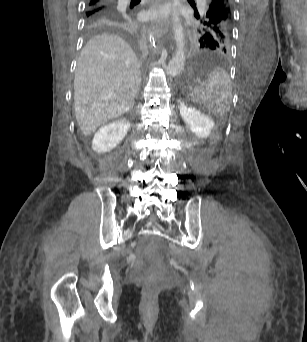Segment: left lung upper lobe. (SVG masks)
I'll return each instance as SVG.
<instances>
[{
    "instance_id": "left-lung-upper-lobe-1",
    "label": "left lung upper lobe",
    "mask_w": 307,
    "mask_h": 342,
    "mask_svg": "<svg viewBox=\"0 0 307 342\" xmlns=\"http://www.w3.org/2000/svg\"><path fill=\"white\" fill-rule=\"evenodd\" d=\"M194 7V0H188ZM194 41L198 49L218 54H226L232 36V7L229 0H208L207 10L200 17L197 11Z\"/></svg>"
}]
</instances>
